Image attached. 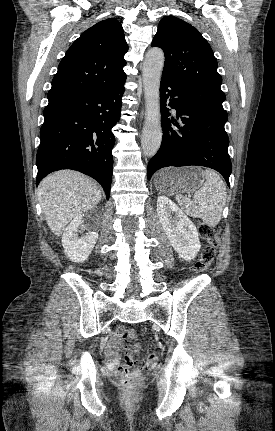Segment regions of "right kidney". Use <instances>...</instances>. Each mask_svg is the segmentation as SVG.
I'll return each instance as SVG.
<instances>
[{"label": "right kidney", "instance_id": "right-kidney-1", "mask_svg": "<svg viewBox=\"0 0 275 431\" xmlns=\"http://www.w3.org/2000/svg\"><path fill=\"white\" fill-rule=\"evenodd\" d=\"M83 224L82 215L76 216L65 229L62 236V245L65 255L73 262H84L92 252L98 233L89 231L86 235L78 237V229Z\"/></svg>", "mask_w": 275, "mask_h": 431}]
</instances>
